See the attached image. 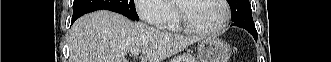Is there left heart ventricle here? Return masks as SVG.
<instances>
[{
	"label": "left heart ventricle",
	"instance_id": "1",
	"mask_svg": "<svg viewBox=\"0 0 331 62\" xmlns=\"http://www.w3.org/2000/svg\"><path fill=\"white\" fill-rule=\"evenodd\" d=\"M188 20L203 29L217 28L223 19L224 10L218 0H190L183 3Z\"/></svg>",
	"mask_w": 331,
	"mask_h": 62
}]
</instances>
